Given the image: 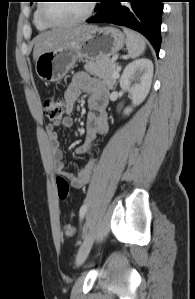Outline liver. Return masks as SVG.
<instances>
[{"mask_svg": "<svg viewBox=\"0 0 195 299\" xmlns=\"http://www.w3.org/2000/svg\"><path fill=\"white\" fill-rule=\"evenodd\" d=\"M92 26L81 25L75 27L58 28L43 32L35 38L33 58H37L45 52L68 45L71 41L79 39Z\"/></svg>", "mask_w": 195, "mask_h": 299, "instance_id": "liver-1", "label": "liver"}]
</instances>
